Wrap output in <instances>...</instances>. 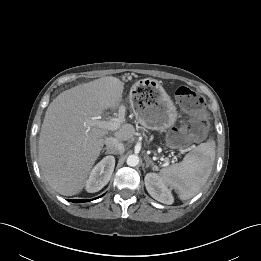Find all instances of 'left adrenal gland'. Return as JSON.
Returning <instances> with one entry per match:
<instances>
[{
	"label": "left adrenal gland",
	"instance_id": "obj_1",
	"mask_svg": "<svg viewBox=\"0 0 261 261\" xmlns=\"http://www.w3.org/2000/svg\"><path fill=\"white\" fill-rule=\"evenodd\" d=\"M145 161H146V168H148L149 166H151L153 170L157 168L156 165H154L153 161L148 156L146 157Z\"/></svg>",
	"mask_w": 261,
	"mask_h": 261
}]
</instances>
